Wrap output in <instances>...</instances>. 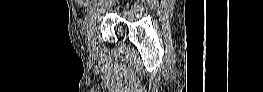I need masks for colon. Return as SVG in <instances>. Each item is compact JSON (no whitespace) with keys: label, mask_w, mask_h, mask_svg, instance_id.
<instances>
[{"label":"colon","mask_w":263,"mask_h":92,"mask_svg":"<svg viewBox=\"0 0 263 92\" xmlns=\"http://www.w3.org/2000/svg\"><path fill=\"white\" fill-rule=\"evenodd\" d=\"M79 2L82 3V4H88V3L92 2V1H89V0H81V1H79Z\"/></svg>","instance_id":"1"}]
</instances>
